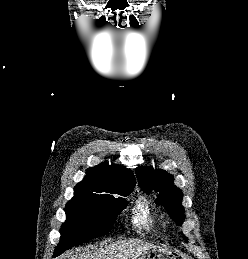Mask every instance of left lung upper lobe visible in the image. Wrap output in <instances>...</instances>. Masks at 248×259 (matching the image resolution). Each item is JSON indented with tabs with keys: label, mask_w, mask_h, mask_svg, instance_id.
<instances>
[{
	"label": "left lung upper lobe",
	"mask_w": 248,
	"mask_h": 259,
	"mask_svg": "<svg viewBox=\"0 0 248 259\" xmlns=\"http://www.w3.org/2000/svg\"><path fill=\"white\" fill-rule=\"evenodd\" d=\"M136 175L139 185L146 193L152 190L159 192L156 204L164 206L170 217L181 225L184 218V208L181 205L183 194L173 184V176L164 170H154L150 166L137 167Z\"/></svg>",
	"instance_id": "1"
}]
</instances>
